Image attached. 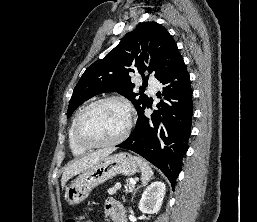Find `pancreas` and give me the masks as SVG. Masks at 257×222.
Returning <instances> with one entry per match:
<instances>
[{"instance_id":"cf45deb5","label":"pancreas","mask_w":257,"mask_h":222,"mask_svg":"<svg viewBox=\"0 0 257 222\" xmlns=\"http://www.w3.org/2000/svg\"><path fill=\"white\" fill-rule=\"evenodd\" d=\"M120 188V186L118 185L117 187H115V188H111V189H109L108 190V193L110 194V195H113V194H115L116 193V191L118 190ZM124 188H125V193H129V192H132L133 190H134V185H132L130 182H129V180L127 181V183H126V185L124 186Z\"/></svg>"}]
</instances>
